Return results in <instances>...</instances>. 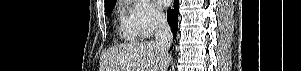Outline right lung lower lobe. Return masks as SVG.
<instances>
[{
  "mask_svg": "<svg viewBox=\"0 0 301 71\" xmlns=\"http://www.w3.org/2000/svg\"><path fill=\"white\" fill-rule=\"evenodd\" d=\"M179 1L175 0L174 9H169L167 12V21L171 27L174 38L176 37L177 29H178V8Z\"/></svg>",
  "mask_w": 301,
  "mask_h": 71,
  "instance_id": "obj_1",
  "label": "right lung lower lobe"
}]
</instances>
